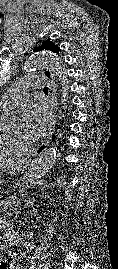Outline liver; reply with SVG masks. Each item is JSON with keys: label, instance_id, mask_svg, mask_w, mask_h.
Segmentation results:
<instances>
[{"label": "liver", "instance_id": "1", "mask_svg": "<svg viewBox=\"0 0 118 269\" xmlns=\"http://www.w3.org/2000/svg\"><path fill=\"white\" fill-rule=\"evenodd\" d=\"M23 162L21 160H13V159H4L0 157V169L2 170H6V169H10L13 170L14 166L20 165Z\"/></svg>", "mask_w": 118, "mask_h": 269}]
</instances>
